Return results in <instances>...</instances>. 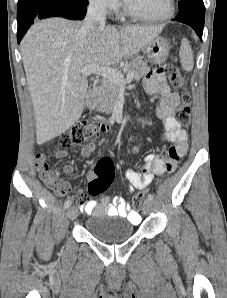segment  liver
<instances>
[{"label": "liver", "mask_w": 227, "mask_h": 298, "mask_svg": "<svg viewBox=\"0 0 227 298\" xmlns=\"http://www.w3.org/2000/svg\"><path fill=\"white\" fill-rule=\"evenodd\" d=\"M82 26L60 17L45 19L32 25L21 42L39 145L64 133L81 117L88 81L80 69L131 58L163 30L135 25L84 31Z\"/></svg>", "instance_id": "obj_1"}]
</instances>
